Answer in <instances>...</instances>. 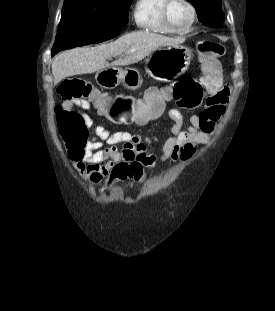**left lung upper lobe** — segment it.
<instances>
[{
  "mask_svg": "<svg viewBox=\"0 0 275 311\" xmlns=\"http://www.w3.org/2000/svg\"><path fill=\"white\" fill-rule=\"evenodd\" d=\"M198 12V19L208 27H219L225 20L221 0H187Z\"/></svg>",
  "mask_w": 275,
  "mask_h": 311,
  "instance_id": "5c2ea615",
  "label": "left lung upper lobe"
}]
</instances>
